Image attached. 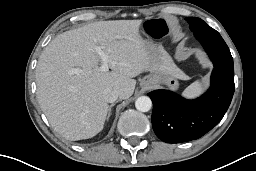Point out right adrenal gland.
Returning a JSON list of instances; mask_svg holds the SVG:
<instances>
[{
    "label": "right adrenal gland",
    "instance_id": "2a0ac1e0",
    "mask_svg": "<svg viewBox=\"0 0 256 171\" xmlns=\"http://www.w3.org/2000/svg\"><path fill=\"white\" fill-rule=\"evenodd\" d=\"M114 106V104H111L110 106H109V109H108V115H107V120L110 118V116H111V111H112V107Z\"/></svg>",
    "mask_w": 256,
    "mask_h": 171
}]
</instances>
